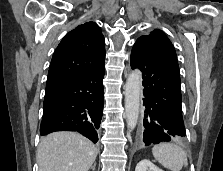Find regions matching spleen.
<instances>
[{"instance_id":"3e777b00","label":"spleen","mask_w":223,"mask_h":171,"mask_svg":"<svg viewBox=\"0 0 223 171\" xmlns=\"http://www.w3.org/2000/svg\"><path fill=\"white\" fill-rule=\"evenodd\" d=\"M154 158L165 168L171 171H180L183 166H187V154L178 145L171 143H161L152 148Z\"/></svg>"}]
</instances>
